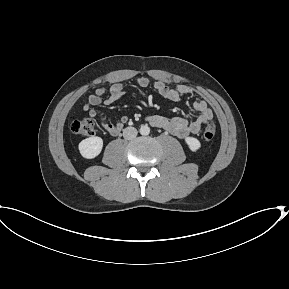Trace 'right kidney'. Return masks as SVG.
<instances>
[{
  "instance_id": "obj_1",
  "label": "right kidney",
  "mask_w": 289,
  "mask_h": 289,
  "mask_svg": "<svg viewBox=\"0 0 289 289\" xmlns=\"http://www.w3.org/2000/svg\"><path fill=\"white\" fill-rule=\"evenodd\" d=\"M103 140L98 136H92L79 143L80 154L86 159L97 157L102 151Z\"/></svg>"
}]
</instances>
